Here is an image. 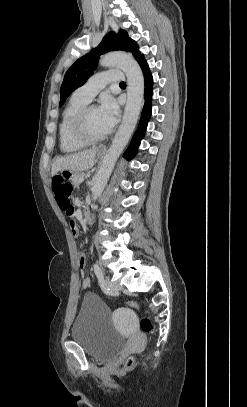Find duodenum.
<instances>
[{"label":"duodenum","instance_id":"duodenum-1","mask_svg":"<svg viewBox=\"0 0 247 407\" xmlns=\"http://www.w3.org/2000/svg\"><path fill=\"white\" fill-rule=\"evenodd\" d=\"M83 218L89 224L92 223V221H93L92 213H91V210L88 205L83 211Z\"/></svg>","mask_w":247,"mask_h":407}]
</instances>
